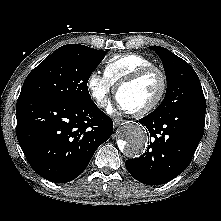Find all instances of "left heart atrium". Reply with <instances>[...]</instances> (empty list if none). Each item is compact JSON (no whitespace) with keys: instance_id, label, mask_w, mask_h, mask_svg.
<instances>
[{"instance_id":"39dd6f15","label":"left heart atrium","mask_w":221,"mask_h":221,"mask_svg":"<svg viewBox=\"0 0 221 221\" xmlns=\"http://www.w3.org/2000/svg\"><path fill=\"white\" fill-rule=\"evenodd\" d=\"M118 105L120 106V107H122V108H124L121 104H120V102L118 101Z\"/></svg>"}]
</instances>
